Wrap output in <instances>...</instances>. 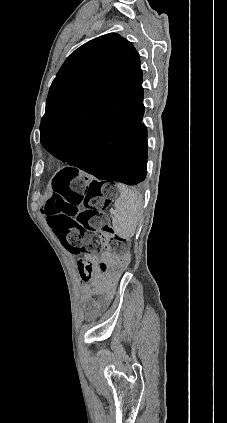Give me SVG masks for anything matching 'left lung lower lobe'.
I'll return each instance as SVG.
<instances>
[{"instance_id":"left-lung-lower-lobe-1","label":"left lung lower lobe","mask_w":227,"mask_h":423,"mask_svg":"<svg viewBox=\"0 0 227 423\" xmlns=\"http://www.w3.org/2000/svg\"><path fill=\"white\" fill-rule=\"evenodd\" d=\"M143 112L107 113L81 135L51 142L45 149L98 179L136 185L146 177L147 129ZM62 173L77 175L66 168Z\"/></svg>"}]
</instances>
